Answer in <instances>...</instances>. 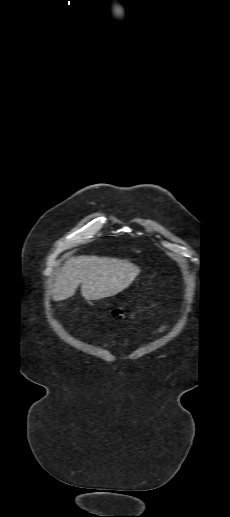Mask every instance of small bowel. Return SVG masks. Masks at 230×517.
Instances as JSON below:
<instances>
[{"label":"small bowel","mask_w":230,"mask_h":517,"mask_svg":"<svg viewBox=\"0 0 230 517\" xmlns=\"http://www.w3.org/2000/svg\"><path fill=\"white\" fill-rule=\"evenodd\" d=\"M168 328V325L167 324H162L161 326H159L158 328H156L154 330V333L158 334V333H162L163 331H165L166 329ZM112 344H106L105 347H111Z\"/></svg>","instance_id":"c3829d8e"}]
</instances>
